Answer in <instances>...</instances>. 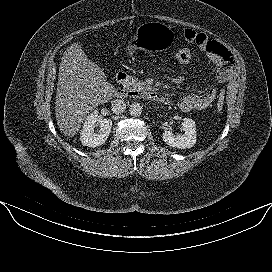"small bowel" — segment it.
<instances>
[{"instance_id": "obj_1", "label": "small bowel", "mask_w": 272, "mask_h": 272, "mask_svg": "<svg viewBox=\"0 0 272 272\" xmlns=\"http://www.w3.org/2000/svg\"><path fill=\"white\" fill-rule=\"evenodd\" d=\"M184 39L196 44L207 55L216 71L219 84L226 82L231 75L233 57L230 51L221 43L211 40L206 34L185 29ZM218 90L211 87L203 94H191L181 98L179 108L184 112L201 111L209 107L216 99Z\"/></svg>"}]
</instances>
